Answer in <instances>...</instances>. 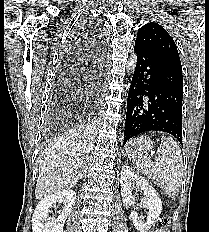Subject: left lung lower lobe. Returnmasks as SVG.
<instances>
[{
    "mask_svg": "<svg viewBox=\"0 0 209 232\" xmlns=\"http://www.w3.org/2000/svg\"><path fill=\"white\" fill-rule=\"evenodd\" d=\"M137 64L129 88L124 144L147 131L173 135L182 144V69L135 44Z\"/></svg>",
    "mask_w": 209,
    "mask_h": 232,
    "instance_id": "0a47b994",
    "label": "left lung lower lobe"
}]
</instances>
